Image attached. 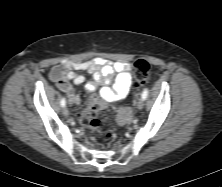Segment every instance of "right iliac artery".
Instances as JSON below:
<instances>
[{
	"label": "right iliac artery",
	"mask_w": 222,
	"mask_h": 187,
	"mask_svg": "<svg viewBox=\"0 0 222 187\" xmlns=\"http://www.w3.org/2000/svg\"><path fill=\"white\" fill-rule=\"evenodd\" d=\"M60 105H61L62 107H64V106L66 105V100H65V98H62V99H61Z\"/></svg>",
	"instance_id": "obj_1"
}]
</instances>
